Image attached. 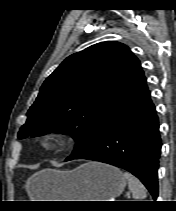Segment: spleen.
I'll list each match as a JSON object with an SVG mask.
<instances>
[{
  "label": "spleen",
  "instance_id": "spleen-1",
  "mask_svg": "<svg viewBox=\"0 0 176 211\" xmlns=\"http://www.w3.org/2000/svg\"><path fill=\"white\" fill-rule=\"evenodd\" d=\"M123 176L128 180L129 189L132 192V197L135 201H142V199H145L147 194L144 185L129 172H124Z\"/></svg>",
  "mask_w": 176,
  "mask_h": 211
}]
</instances>
